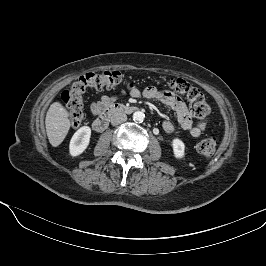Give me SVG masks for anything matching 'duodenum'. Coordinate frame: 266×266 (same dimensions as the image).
Returning a JSON list of instances; mask_svg holds the SVG:
<instances>
[{"mask_svg": "<svg viewBox=\"0 0 266 266\" xmlns=\"http://www.w3.org/2000/svg\"><path fill=\"white\" fill-rule=\"evenodd\" d=\"M137 108L135 106L120 104V103H111L107 105L101 112V114L93 121V129L101 132L104 131L110 122V119L121 113L131 114L135 112Z\"/></svg>", "mask_w": 266, "mask_h": 266, "instance_id": "1", "label": "duodenum"}]
</instances>
